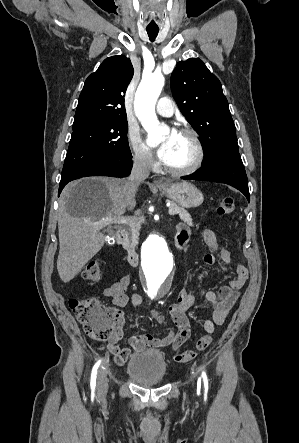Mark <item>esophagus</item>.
Here are the masks:
<instances>
[{
	"instance_id": "1",
	"label": "esophagus",
	"mask_w": 299,
	"mask_h": 443,
	"mask_svg": "<svg viewBox=\"0 0 299 443\" xmlns=\"http://www.w3.org/2000/svg\"><path fill=\"white\" fill-rule=\"evenodd\" d=\"M154 183H155L156 185H163V184H164V182H163L162 180H160V179H156V180H154Z\"/></svg>"
}]
</instances>
